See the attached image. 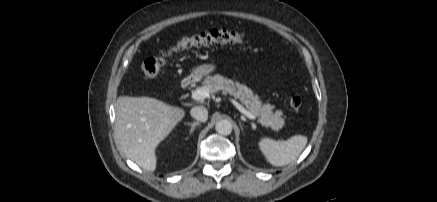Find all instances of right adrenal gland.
<instances>
[{"label": "right adrenal gland", "instance_id": "1", "mask_svg": "<svg viewBox=\"0 0 437 202\" xmlns=\"http://www.w3.org/2000/svg\"><path fill=\"white\" fill-rule=\"evenodd\" d=\"M185 124L191 126L190 134H192L193 131H194V129H195V127L198 126V125H200V122L196 121V122H193V123H185Z\"/></svg>", "mask_w": 437, "mask_h": 202}]
</instances>
